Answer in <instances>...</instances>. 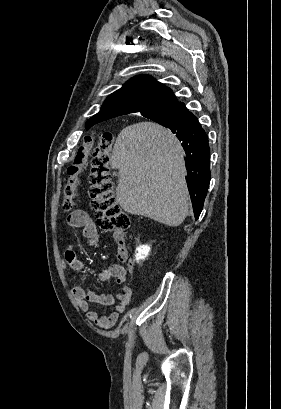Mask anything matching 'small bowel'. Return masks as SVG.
I'll return each mask as SVG.
<instances>
[{
	"label": "small bowel",
	"instance_id": "small-bowel-1",
	"mask_svg": "<svg viewBox=\"0 0 281 409\" xmlns=\"http://www.w3.org/2000/svg\"><path fill=\"white\" fill-rule=\"evenodd\" d=\"M67 222L71 227L82 229L86 242L91 249H98L100 247V238L96 226L86 211L82 209L72 211L67 218ZM65 263L74 271H82L85 267L84 263L76 257L71 247L65 252ZM98 279L102 282L114 279L116 284L120 286L119 292L116 295H112L98 293L84 286H74L72 294L78 306L87 312L90 321L100 328L110 329L129 306L132 298V289L127 284L126 268L119 264H112L102 269L98 273ZM91 304L105 307L114 305V310L109 314L100 315L98 312L90 309Z\"/></svg>",
	"mask_w": 281,
	"mask_h": 409
}]
</instances>
